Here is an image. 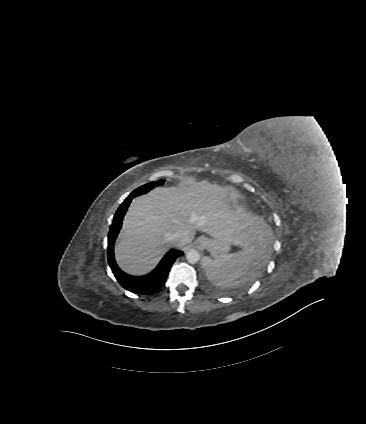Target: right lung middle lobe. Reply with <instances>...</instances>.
Masks as SVG:
<instances>
[{"instance_id": "dd1d6c3e", "label": "right lung middle lobe", "mask_w": 366, "mask_h": 424, "mask_svg": "<svg viewBox=\"0 0 366 424\" xmlns=\"http://www.w3.org/2000/svg\"><path fill=\"white\" fill-rule=\"evenodd\" d=\"M163 184H164L163 180H159V181H156V182H150V183H148V184H145V185H143V186H141V187H139V188L135 189V190H134V191L130 194V196H132V195H133V197H136V196H138V195L145 194V193H147L148 191H150L151 189H153L154 187L159 186V185H163Z\"/></svg>"}]
</instances>
